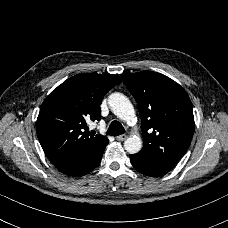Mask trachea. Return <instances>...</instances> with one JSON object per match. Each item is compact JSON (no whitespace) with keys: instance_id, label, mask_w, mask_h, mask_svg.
I'll return each instance as SVG.
<instances>
[{"instance_id":"obj_1","label":"trachea","mask_w":228,"mask_h":228,"mask_svg":"<svg viewBox=\"0 0 228 228\" xmlns=\"http://www.w3.org/2000/svg\"><path fill=\"white\" fill-rule=\"evenodd\" d=\"M125 133V129L119 121H112L106 135L119 136Z\"/></svg>"}]
</instances>
